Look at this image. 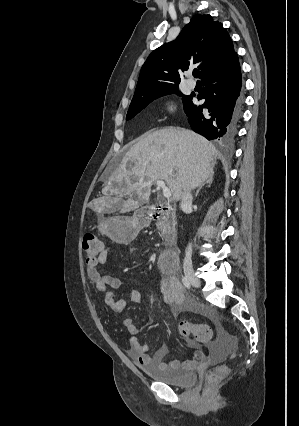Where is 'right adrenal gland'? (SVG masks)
I'll use <instances>...</instances> for the list:
<instances>
[{"label":"right adrenal gland","mask_w":299,"mask_h":426,"mask_svg":"<svg viewBox=\"0 0 299 426\" xmlns=\"http://www.w3.org/2000/svg\"><path fill=\"white\" fill-rule=\"evenodd\" d=\"M212 181H213V176L212 177H209L204 183H202L199 187H198V189H197V191H196V193H195V196L194 197H197L198 196V194H199V192H200V190L204 187V185L205 184H207L208 186H210L211 185V183H212Z\"/></svg>","instance_id":"2a0ac1e0"}]
</instances>
